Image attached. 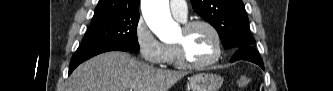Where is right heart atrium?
Returning a JSON list of instances; mask_svg holds the SVG:
<instances>
[{"label": "right heart atrium", "mask_w": 333, "mask_h": 91, "mask_svg": "<svg viewBox=\"0 0 333 91\" xmlns=\"http://www.w3.org/2000/svg\"><path fill=\"white\" fill-rule=\"evenodd\" d=\"M134 40L142 58L147 63L161 65L165 62L166 46L155 37L142 17L135 24Z\"/></svg>", "instance_id": "1"}]
</instances>
